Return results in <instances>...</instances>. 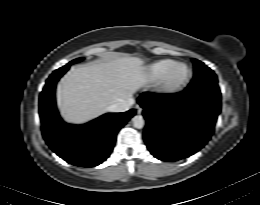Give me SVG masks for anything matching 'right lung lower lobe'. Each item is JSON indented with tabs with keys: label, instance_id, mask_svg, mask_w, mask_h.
Wrapping results in <instances>:
<instances>
[{
	"label": "right lung lower lobe",
	"instance_id": "obj_1",
	"mask_svg": "<svg viewBox=\"0 0 260 205\" xmlns=\"http://www.w3.org/2000/svg\"><path fill=\"white\" fill-rule=\"evenodd\" d=\"M68 69L54 71L40 94L42 134L52 151L66 162L94 167L109 157L118 131L134 116L135 110L107 113L84 125L66 124L57 112L54 91L57 81Z\"/></svg>",
	"mask_w": 260,
	"mask_h": 205
}]
</instances>
